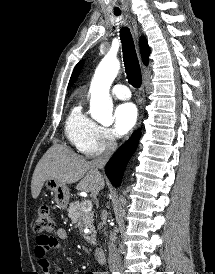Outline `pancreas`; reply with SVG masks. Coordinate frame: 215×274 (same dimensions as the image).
Here are the masks:
<instances>
[{
	"instance_id": "pancreas-1",
	"label": "pancreas",
	"mask_w": 215,
	"mask_h": 274,
	"mask_svg": "<svg viewBox=\"0 0 215 274\" xmlns=\"http://www.w3.org/2000/svg\"><path fill=\"white\" fill-rule=\"evenodd\" d=\"M82 208L83 202H73L68 208V215L76 223H81L85 227L89 228L90 231L89 234L85 237V240L90 244L96 245V231L93 224V213L84 212Z\"/></svg>"
}]
</instances>
